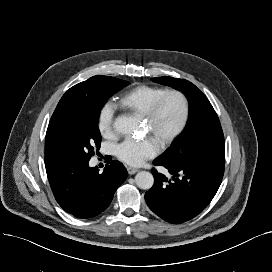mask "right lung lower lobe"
<instances>
[{
	"label": "right lung lower lobe",
	"instance_id": "right-lung-lower-lobe-1",
	"mask_svg": "<svg viewBox=\"0 0 272 272\" xmlns=\"http://www.w3.org/2000/svg\"><path fill=\"white\" fill-rule=\"evenodd\" d=\"M88 162L58 161L46 165L55 199L77 218H91L103 212L127 178V170L118 161H111L103 173L96 167L90 168Z\"/></svg>",
	"mask_w": 272,
	"mask_h": 272
}]
</instances>
